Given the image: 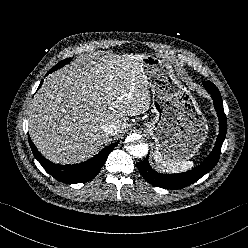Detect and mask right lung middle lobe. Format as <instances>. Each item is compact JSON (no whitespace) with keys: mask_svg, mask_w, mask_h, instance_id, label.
Listing matches in <instances>:
<instances>
[{"mask_svg":"<svg viewBox=\"0 0 248 248\" xmlns=\"http://www.w3.org/2000/svg\"><path fill=\"white\" fill-rule=\"evenodd\" d=\"M70 61H71V59L70 58H67V59L61 61L60 63H58L52 69L57 70V69L61 68L62 66H64L65 64H68Z\"/></svg>","mask_w":248,"mask_h":248,"instance_id":"obj_1","label":"right lung middle lobe"}]
</instances>
